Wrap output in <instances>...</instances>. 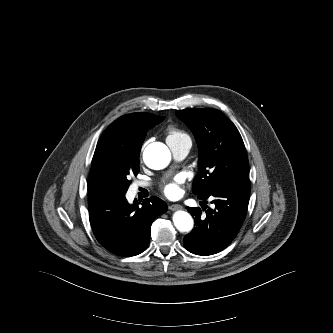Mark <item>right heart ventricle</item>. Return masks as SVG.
<instances>
[{
	"mask_svg": "<svg viewBox=\"0 0 333 333\" xmlns=\"http://www.w3.org/2000/svg\"><path fill=\"white\" fill-rule=\"evenodd\" d=\"M166 140L168 144L192 143L190 135L174 125L168 126Z\"/></svg>",
	"mask_w": 333,
	"mask_h": 333,
	"instance_id": "right-heart-ventricle-1",
	"label": "right heart ventricle"
}]
</instances>
